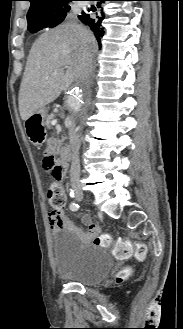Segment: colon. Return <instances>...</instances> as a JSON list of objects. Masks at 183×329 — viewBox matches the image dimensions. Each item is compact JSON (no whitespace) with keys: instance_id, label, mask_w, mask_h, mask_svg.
<instances>
[{"instance_id":"5ec220e1","label":"colon","mask_w":183,"mask_h":329,"mask_svg":"<svg viewBox=\"0 0 183 329\" xmlns=\"http://www.w3.org/2000/svg\"><path fill=\"white\" fill-rule=\"evenodd\" d=\"M44 171L52 178V182L48 189V198L50 205L56 212H61L66 204V195L62 185L63 168L56 163L53 155H44L42 160ZM94 243L104 247L113 246L117 256H127L131 253L138 259H143L146 255V246L136 244L132 247L127 242H114L108 235H100L94 238ZM129 274V270L124 269L118 274V280L125 279Z\"/></svg>"}]
</instances>
